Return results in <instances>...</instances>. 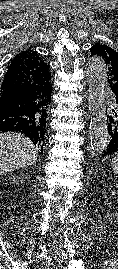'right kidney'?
Masks as SVG:
<instances>
[{
  "label": "right kidney",
  "instance_id": "1",
  "mask_svg": "<svg viewBox=\"0 0 118 269\" xmlns=\"http://www.w3.org/2000/svg\"><path fill=\"white\" fill-rule=\"evenodd\" d=\"M20 179H21V176H20V175L14 177L13 180H12V184H13V183H16V184L19 183Z\"/></svg>",
  "mask_w": 118,
  "mask_h": 269
}]
</instances>
